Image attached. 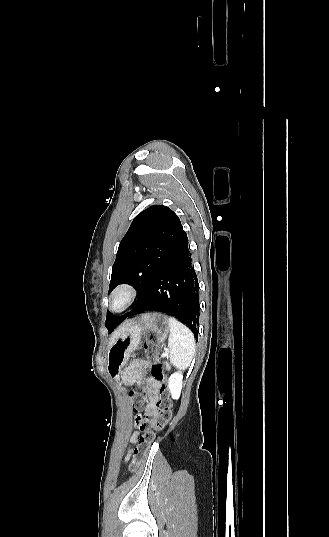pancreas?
Listing matches in <instances>:
<instances>
[{"instance_id": "pancreas-1", "label": "pancreas", "mask_w": 329, "mask_h": 537, "mask_svg": "<svg viewBox=\"0 0 329 537\" xmlns=\"http://www.w3.org/2000/svg\"><path fill=\"white\" fill-rule=\"evenodd\" d=\"M166 368H167V369H169V368H170V366H169L168 364H166Z\"/></svg>"}]
</instances>
